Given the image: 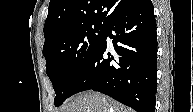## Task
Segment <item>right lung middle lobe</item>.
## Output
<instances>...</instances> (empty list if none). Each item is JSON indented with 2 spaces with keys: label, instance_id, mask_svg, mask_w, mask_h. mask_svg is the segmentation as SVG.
I'll list each match as a JSON object with an SVG mask.
<instances>
[{
  "label": "right lung middle lobe",
  "instance_id": "dd1d6c3e",
  "mask_svg": "<svg viewBox=\"0 0 193 112\" xmlns=\"http://www.w3.org/2000/svg\"><path fill=\"white\" fill-rule=\"evenodd\" d=\"M105 28L100 23L76 24L44 43L46 73L55 90L56 107L70 97L78 76L102 41Z\"/></svg>",
  "mask_w": 193,
  "mask_h": 112
}]
</instances>
